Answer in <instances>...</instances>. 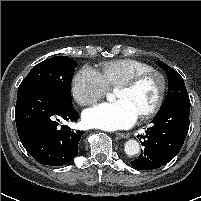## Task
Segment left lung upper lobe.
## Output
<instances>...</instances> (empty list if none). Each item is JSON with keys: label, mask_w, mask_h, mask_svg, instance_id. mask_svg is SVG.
<instances>
[{"label": "left lung upper lobe", "mask_w": 201, "mask_h": 201, "mask_svg": "<svg viewBox=\"0 0 201 201\" xmlns=\"http://www.w3.org/2000/svg\"><path fill=\"white\" fill-rule=\"evenodd\" d=\"M157 64L166 72L169 82L168 94L162 107L177 101H189L184 80L179 73L162 61H157Z\"/></svg>", "instance_id": "left-lung-upper-lobe-1"}]
</instances>
